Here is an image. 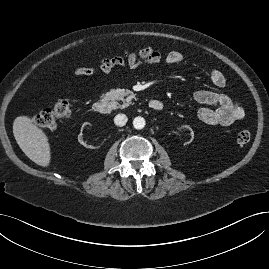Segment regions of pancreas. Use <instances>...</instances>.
Wrapping results in <instances>:
<instances>
[{"mask_svg": "<svg viewBox=\"0 0 269 269\" xmlns=\"http://www.w3.org/2000/svg\"><path fill=\"white\" fill-rule=\"evenodd\" d=\"M127 96L126 98H124ZM135 94L130 90L125 89H111L106 93V97L112 101H123V105L119 107H126L131 104V100L135 98Z\"/></svg>", "mask_w": 269, "mask_h": 269, "instance_id": "obj_1", "label": "pancreas"}]
</instances>
